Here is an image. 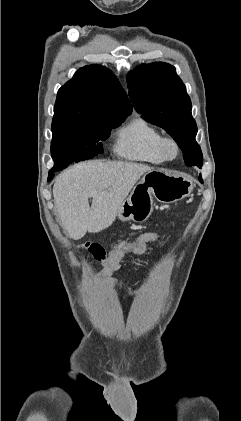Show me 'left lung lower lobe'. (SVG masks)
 <instances>
[{"label":"left lung lower lobe","instance_id":"obj_1","mask_svg":"<svg viewBox=\"0 0 241 421\" xmlns=\"http://www.w3.org/2000/svg\"><path fill=\"white\" fill-rule=\"evenodd\" d=\"M186 165H187V166H191L190 164H187V163H186ZM199 180H200V181L202 182V179H201V177H199Z\"/></svg>","mask_w":241,"mask_h":421}]
</instances>
